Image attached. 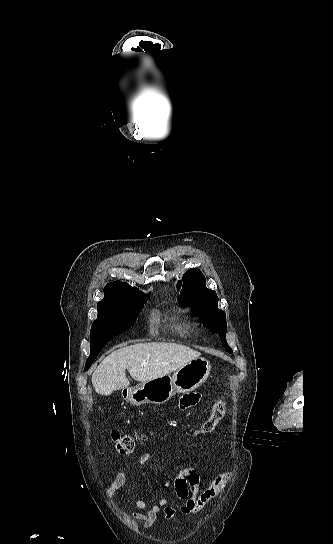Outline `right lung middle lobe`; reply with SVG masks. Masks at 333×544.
Masks as SVG:
<instances>
[{"mask_svg": "<svg viewBox=\"0 0 333 544\" xmlns=\"http://www.w3.org/2000/svg\"><path fill=\"white\" fill-rule=\"evenodd\" d=\"M150 295L97 304L98 316L90 332L91 352L85 367H90L102 348L113 337L127 331L137 320Z\"/></svg>", "mask_w": 333, "mask_h": 544, "instance_id": "right-lung-middle-lobe-1", "label": "right lung middle lobe"}]
</instances>
